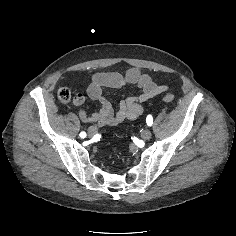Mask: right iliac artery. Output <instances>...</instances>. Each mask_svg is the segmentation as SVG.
I'll use <instances>...</instances> for the list:
<instances>
[{"label":"right iliac artery","instance_id":"82829eb1","mask_svg":"<svg viewBox=\"0 0 236 236\" xmlns=\"http://www.w3.org/2000/svg\"><path fill=\"white\" fill-rule=\"evenodd\" d=\"M80 137H81V138H85V137H86V133H85V132H81V133H80Z\"/></svg>","mask_w":236,"mask_h":236}]
</instances>
